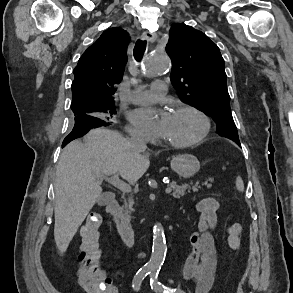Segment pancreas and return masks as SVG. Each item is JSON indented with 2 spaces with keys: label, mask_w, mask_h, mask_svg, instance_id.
Returning <instances> with one entry per match:
<instances>
[{
  "label": "pancreas",
  "mask_w": 293,
  "mask_h": 293,
  "mask_svg": "<svg viewBox=\"0 0 293 293\" xmlns=\"http://www.w3.org/2000/svg\"><path fill=\"white\" fill-rule=\"evenodd\" d=\"M192 185V183H190ZM202 185H208V182H204ZM170 188L173 190L172 192V196L174 198H180L181 196H184L187 194V192H190V190H192L193 192H198L200 186H199V182H196L195 185H193L192 187H190L189 184H182V185H178L176 182H171L170 183ZM133 204H134V200L133 199H129L128 201H125L124 203V212H125V217L127 219H130V213L133 211Z\"/></svg>",
  "instance_id": "cf45deb5"
}]
</instances>
